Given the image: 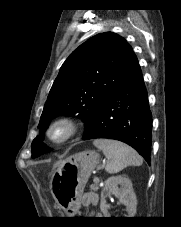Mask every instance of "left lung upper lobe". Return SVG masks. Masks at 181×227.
<instances>
[{"label": "left lung upper lobe", "instance_id": "left-lung-upper-lobe-1", "mask_svg": "<svg viewBox=\"0 0 181 227\" xmlns=\"http://www.w3.org/2000/svg\"><path fill=\"white\" fill-rule=\"evenodd\" d=\"M137 58L124 38L100 33L90 38L63 63L44 105L40 136L31 145L32 158L51 151L41 138L57 115H74L86 124V135L114 88L130 72Z\"/></svg>", "mask_w": 181, "mask_h": 227}]
</instances>
